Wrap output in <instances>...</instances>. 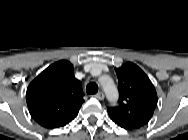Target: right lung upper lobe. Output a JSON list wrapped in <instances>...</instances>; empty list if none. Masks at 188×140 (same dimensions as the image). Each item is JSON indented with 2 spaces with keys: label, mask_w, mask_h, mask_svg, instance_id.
Listing matches in <instances>:
<instances>
[{
  "label": "right lung upper lobe",
  "mask_w": 188,
  "mask_h": 140,
  "mask_svg": "<svg viewBox=\"0 0 188 140\" xmlns=\"http://www.w3.org/2000/svg\"><path fill=\"white\" fill-rule=\"evenodd\" d=\"M27 105L31 116L45 128L68 124L84 102L80 81L68 61H58L46 68L28 86Z\"/></svg>",
  "instance_id": "right-lung-upper-lobe-1"
}]
</instances>
